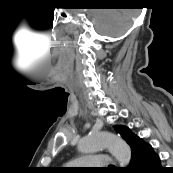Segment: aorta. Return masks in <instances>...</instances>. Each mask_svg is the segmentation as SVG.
Instances as JSON below:
<instances>
[{
  "label": "aorta",
  "mask_w": 173,
  "mask_h": 173,
  "mask_svg": "<svg viewBox=\"0 0 173 173\" xmlns=\"http://www.w3.org/2000/svg\"><path fill=\"white\" fill-rule=\"evenodd\" d=\"M107 148L117 159L122 167L130 164L131 149L119 136L110 132H98L81 140L79 151L82 153H94Z\"/></svg>",
  "instance_id": "aorta-1"
}]
</instances>
